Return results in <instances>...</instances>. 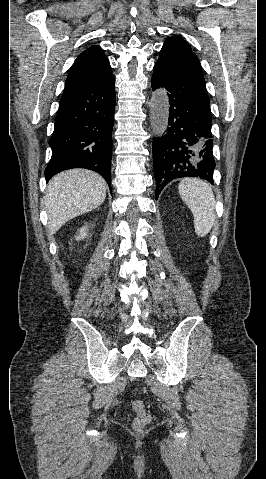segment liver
I'll use <instances>...</instances> for the list:
<instances>
[{"label": "liver", "instance_id": "obj_1", "mask_svg": "<svg viewBox=\"0 0 266 479\" xmlns=\"http://www.w3.org/2000/svg\"><path fill=\"white\" fill-rule=\"evenodd\" d=\"M106 188L99 174L85 169L67 170L54 176L45 197L49 234L100 206L106 197Z\"/></svg>", "mask_w": 266, "mask_h": 479}]
</instances>
